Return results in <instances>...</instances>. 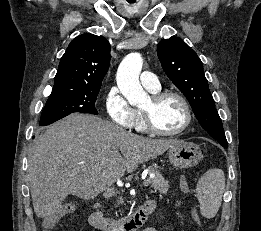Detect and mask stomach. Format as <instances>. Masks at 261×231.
<instances>
[{
    "mask_svg": "<svg viewBox=\"0 0 261 231\" xmlns=\"http://www.w3.org/2000/svg\"><path fill=\"white\" fill-rule=\"evenodd\" d=\"M167 155L176 168H190L202 159V152L198 145L192 142L180 141L168 149Z\"/></svg>",
    "mask_w": 261,
    "mask_h": 231,
    "instance_id": "1",
    "label": "stomach"
}]
</instances>
